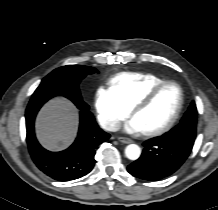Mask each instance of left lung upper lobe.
I'll return each mask as SVG.
<instances>
[{"label": "left lung upper lobe", "mask_w": 218, "mask_h": 210, "mask_svg": "<svg viewBox=\"0 0 218 210\" xmlns=\"http://www.w3.org/2000/svg\"><path fill=\"white\" fill-rule=\"evenodd\" d=\"M196 122H197V108L193 101L189 106L187 112L184 114L180 123L169 132L165 133L166 136L175 137L177 134H181V128L192 131V134L196 136Z\"/></svg>", "instance_id": "obj_1"}]
</instances>
